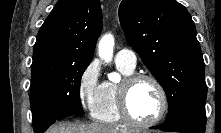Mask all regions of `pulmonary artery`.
Here are the masks:
<instances>
[{"label":"pulmonary artery","instance_id":"1","mask_svg":"<svg viewBox=\"0 0 221 133\" xmlns=\"http://www.w3.org/2000/svg\"><path fill=\"white\" fill-rule=\"evenodd\" d=\"M115 61L117 64L124 65L130 69H135L137 65V57L136 54L128 49L120 50L115 57Z\"/></svg>","mask_w":221,"mask_h":133}]
</instances>
